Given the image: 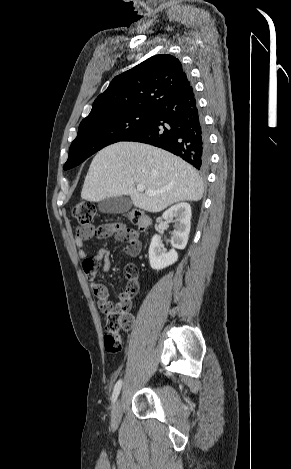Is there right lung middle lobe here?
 Listing matches in <instances>:
<instances>
[{
    "instance_id": "right-lung-middle-lobe-1",
    "label": "right lung middle lobe",
    "mask_w": 291,
    "mask_h": 469,
    "mask_svg": "<svg viewBox=\"0 0 291 469\" xmlns=\"http://www.w3.org/2000/svg\"><path fill=\"white\" fill-rule=\"evenodd\" d=\"M153 110L133 109L109 117L86 119L80 123L64 169L73 168L105 146L122 141L152 117Z\"/></svg>"
}]
</instances>
